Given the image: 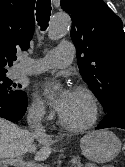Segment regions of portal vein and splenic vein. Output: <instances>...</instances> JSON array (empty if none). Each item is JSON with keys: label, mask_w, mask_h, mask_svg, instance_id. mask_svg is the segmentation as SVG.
<instances>
[{"label": "portal vein and splenic vein", "mask_w": 125, "mask_h": 167, "mask_svg": "<svg viewBox=\"0 0 125 167\" xmlns=\"http://www.w3.org/2000/svg\"><path fill=\"white\" fill-rule=\"evenodd\" d=\"M1 162L5 163V164H10V165H13L16 167H42L39 164L24 161L21 156L16 157V158H7L5 160H2ZM75 162L76 161L74 159L71 160V163L74 164Z\"/></svg>", "instance_id": "portal-vein-and-splenic-vein-1"}]
</instances>
